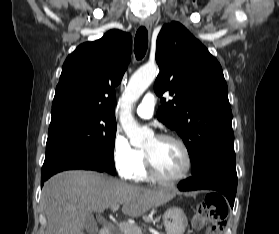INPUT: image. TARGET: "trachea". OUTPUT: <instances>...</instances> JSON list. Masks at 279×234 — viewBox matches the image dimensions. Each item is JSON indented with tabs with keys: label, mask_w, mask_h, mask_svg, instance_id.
I'll use <instances>...</instances> for the list:
<instances>
[{
	"label": "trachea",
	"mask_w": 279,
	"mask_h": 234,
	"mask_svg": "<svg viewBox=\"0 0 279 234\" xmlns=\"http://www.w3.org/2000/svg\"><path fill=\"white\" fill-rule=\"evenodd\" d=\"M148 32L145 27H140L135 36L134 52L137 59H142L147 51Z\"/></svg>",
	"instance_id": "obj_1"
}]
</instances>
